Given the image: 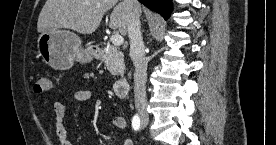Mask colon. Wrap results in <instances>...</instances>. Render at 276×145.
Listing matches in <instances>:
<instances>
[{
  "label": "colon",
  "instance_id": "1",
  "mask_svg": "<svg viewBox=\"0 0 276 145\" xmlns=\"http://www.w3.org/2000/svg\"><path fill=\"white\" fill-rule=\"evenodd\" d=\"M34 92L41 94L52 90V82L49 76L45 73H39L36 75L34 86Z\"/></svg>",
  "mask_w": 276,
  "mask_h": 145
}]
</instances>
